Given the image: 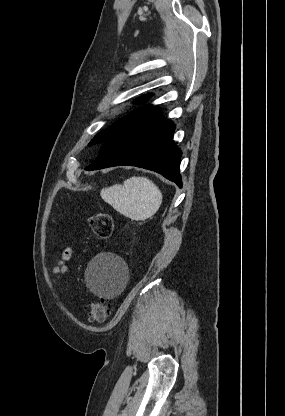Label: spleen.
Returning a JSON list of instances; mask_svg holds the SVG:
<instances>
[{"mask_svg":"<svg viewBox=\"0 0 285 416\" xmlns=\"http://www.w3.org/2000/svg\"><path fill=\"white\" fill-rule=\"evenodd\" d=\"M100 196L116 212L130 220H147L159 210L163 196L159 188L147 178H129L123 186L115 184L103 188Z\"/></svg>","mask_w":285,"mask_h":416,"instance_id":"1","label":"spleen"}]
</instances>
